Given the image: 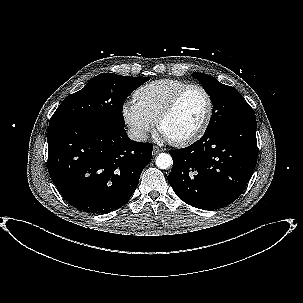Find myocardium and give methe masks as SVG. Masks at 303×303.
<instances>
[{
  "mask_svg": "<svg viewBox=\"0 0 303 303\" xmlns=\"http://www.w3.org/2000/svg\"><path fill=\"white\" fill-rule=\"evenodd\" d=\"M192 89L200 90L203 93V95L205 96L206 101H207V111H206V114H205V117H204L202 123L200 124V126L198 127V129L195 132H193L189 136L181 138V139H169L174 145L180 146V147L187 146V145H190V144L196 142L207 131V129L210 125L212 116H213V111H214L213 100H212V97L209 94V92L203 86H201L199 84H188L187 86H185L184 88L179 90L172 97V99L168 102V104L165 106V108L161 111V113L159 114V116L156 120L157 128L160 132H162V125H163L164 121L175 111V109L177 108V106H178L179 102L181 101V99L183 98V96Z\"/></svg>",
  "mask_w": 303,
  "mask_h": 303,
  "instance_id": "f54148a6",
  "label": "myocardium"
}]
</instances>
